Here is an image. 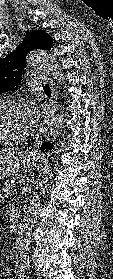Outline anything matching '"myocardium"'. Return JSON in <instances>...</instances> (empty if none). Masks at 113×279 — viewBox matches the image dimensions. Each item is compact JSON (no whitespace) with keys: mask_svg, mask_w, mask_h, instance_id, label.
<instances>
[{"mask_svg":"<svg viewBox=\"0 0 113 279\" xmlns=\"http://www.w3.org/2000/svg\"><path fill=\"white\" fill-rule=\"evenodd\" d=\"M1 104H11L15 106L25 107L24 101L16 98H0V105ZM28 135H29V128H27L26 131L19 136L0 137V144L18 143L24 140Z\"/></svg>","mask_w":113,"mask_h":279,"instance_id":"1","label":"myocardium"}]
</instances>
